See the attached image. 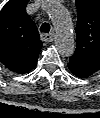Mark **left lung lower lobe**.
Returning a JSON list of instances; mask_svg holds the SVG:
<instances>
[{"mask_svg": "<svg viewBox=\"0 0 100 118\" xmlns=\"http://www.w3.org/2000/svg\"><path fill=\"white\" fill-rule=\"evenodd\" d=\"M68 68L75 76L79 78H87L93 74V72L71 62L68 63Z\"/></svg>", "mask_w": 100, "mask_h": 118, "instance_id": "0a47b994", "label": "left lung lower lobe"}]
</instances>
